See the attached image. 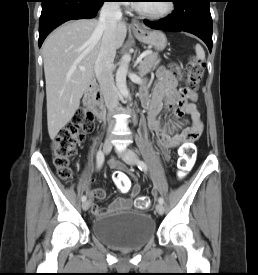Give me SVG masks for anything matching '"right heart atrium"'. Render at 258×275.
Returning <instances> with one entry per match:
<instances>
[{
  "instance_id": "obj_1",
  "label": "right heart atrium",
  "mask_w": 258,
  "mask_h": 275,
  "mask_svg": "<svg viewBox=\"0 0 258 275\" xmlns=\"http://www.w3.org/2000/svg\"><path fill=\"white\" fill-rule=\"evenodd\" d=\"M113 2H127L126 0H113Z\"/></svg>"
}]
</instances>
